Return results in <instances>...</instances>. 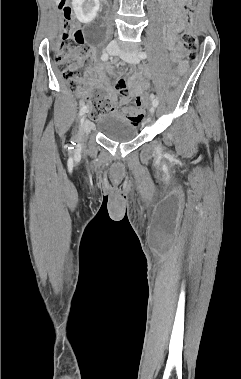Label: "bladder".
I'll list each match as a JSON object with an SVG mask.
<instances>
[{"mask_svg": "<svg viewBox=\"0 0 241 379\" xmlns=\"http://www.w3.org/2000/svg\"><path fill=\"white\" fill-rule=\"evenodd\" d=\"M98 129L104 137L118 143L132 141L138 135L137 124L117 113L101 116L98 121Z\"/></svg>", "mask_w": 241, "mask_h": 379, "instance_id": "bladder-1", "label": "bladder"}]
</instances>
